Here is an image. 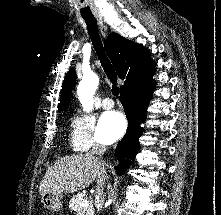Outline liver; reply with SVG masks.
<instances>
[{
    "instance_id": "liver-1",
    "label": "liver",
    "mask_w": 221,
    "mask_h": 215,
    "mask_svg": "<svg viewBox=\"0 0 221 215\" xmlns=\"http://www.w3.org/2000/svg\"><path fill=\"white\" fill-rule=\"evenodd\" d=\"M99 158L86 154L62 157L48 168L40 183L39 193H74L88 187L96 178L106 179V170ZM103 168V169H102Z\"/></svg>"
}]
</instances>
